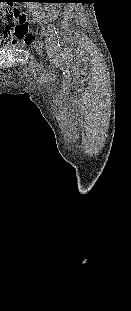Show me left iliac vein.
<instances>
[{"instance_id": "left-iliac-vein-1", "label": "left iliac vein", "mask_w": 131, "mask_h": 311, "mask_svg": "<svg viewBox=\"0 0 131 311\" xmlns=\"http://www.w3.org/2000/svg\"><path fill=\"white\" fill-rule=\"evenodd\" d=\"M46 49L48 54H51L53 52V46L48 40H46Z\"/></svg>"}]
</instances>
